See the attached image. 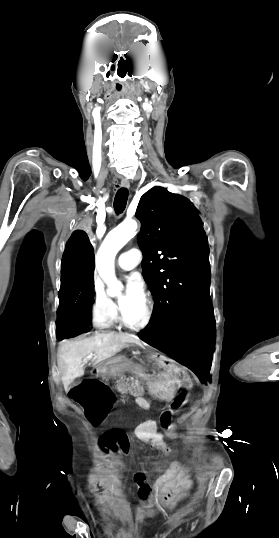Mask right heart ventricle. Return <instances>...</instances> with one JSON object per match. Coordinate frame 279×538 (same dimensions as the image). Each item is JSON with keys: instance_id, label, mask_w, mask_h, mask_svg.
Listing matches in <instances>:
<instances>
[{"instance_id": "e07e8e85", "label": "right heart ventricle", "mask_w": 279, "mask_h": 538, "mask_svg": "<svg viewBox=\"0 0 279 538\" xmlns=\"http://www.w3.org/2000/svg\"><path fill=\"white\" fill-rule=\"evenodd\" d=\"M137 219L135 211L126 210L121 223L111 232L116 235H132L135 232Z\"/></svg>"}]
</instances>
